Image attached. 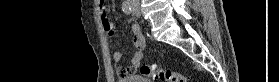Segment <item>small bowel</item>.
Wrapping results in <instances>:
<instances>
[{"label": "small bowel", "mask_w": 279, "mask_h": 82, "mask_svg": "<svg viewBox=\"0 0 279 82\" xmlns=\"http://www.w3.org/2000/svg\"><path fill=\"white\" fill-rule=\"evenodd\" d=\"M99 6L103 11V18H105V1L99 0ZM103 28L107 32L109 37H113L115 32V25L110 21L109 23L103 20ZM131 31L133 34V44L136 47V51L134 52L130 66L128 67H118L116 69V73L119 76H126L133 74L137 68L141 65V61L144 57V49L146 47V40L142 34L141 28L138 25H133L131 27ZM113 59L115 62H120L122 59V53L117 51L113 54Z\"/></svg>", "instance_id": "1"}]
</instances>
